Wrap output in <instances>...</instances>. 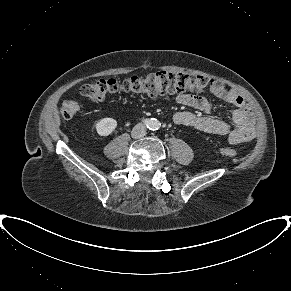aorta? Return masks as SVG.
<instances>
[{
	"instance_id": "obj_1",
	"label": "aorta",
	"mask_w": 291,
	"mask_h": 291,
	"mask_svg": "<svg viewBox=\"0 0 291 291\" xmlns=\"http://www.w3.org/2000/svg\"><path fill=\"white\" fill-rule=\"evenodd\" d=\"M147 125H148L149 129L157 130L161 124L157 119L152 118L148 121Z\"/></svg>"
}]
</instances>
